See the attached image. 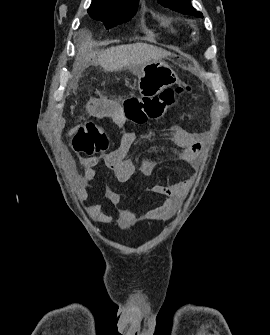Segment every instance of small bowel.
<instances>
[{"label":"small bowel","mask_w":270,"mask_h":335,"mask_svg":"<svg viewBox=\"0 0 270 335\" xmlns=\"http://www.w3.org/2000/svg\"><path fill=\"white\" fill-rule=\"evenodd\" d=\"M99 103L101 108L97 110L96 115L116 121L121 128V139L118 148L114 151L101 156L85 158L81 161L82 172L79 176V197L81 199L86 198V189L89 183L95 179V167L101 160L105 161L107 167L121 183L128 182L137 172L144 176L151 175L156 165L154 161L143 159L139 166L136 167L134 162L128 158V153L135 142L134 133L125 126L122 113L114 102L100 100ZM171 130L173 134L172 143L180 149L178 161L196 167L197 156L203 146L201 137L179 126H173ZM56 160L60 161L64 169H75L76 167L72 158H66L65 154H57ZM192 182V179H186L168 184L153 185L150 191L163 196L164 200L161 204L148 209L145 213V218L147 220L170 218L176 206L185 198ZM104 195L106 200L116 207L119 226L126 228L130 223L133 211L129 208L118 207L121 202V195L112 188L107 187ZM86 212L90 218L99 223L110 224L113 221V215L105 209L103 204L88 206Z\"/></svg>","instance_id":"small-bowel-1"}]
</instances>
